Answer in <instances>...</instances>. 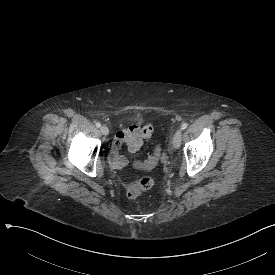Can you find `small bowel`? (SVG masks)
<instances>
[{
    "label": "small bowel",
    "mask_w": 275,
    "mask_h": 275,
    "mask_svg": "<svg viewBox=\"0 0 275 275\" xmlns=\"http://www.w3.org/2000/svg\"><path fill=\"white\" fill-rule=\"evenodd\" d=\"M154 126L151 123L142 124L141 126H129L125 131L118 129L115 132V138L110 151V163L115 168H123L127 165L128 159L120 154L121 146L126 144L130 153L139 150L143 143H147L152 136Z\"/></svg>",
    "instance_id": "1"
}]
</instances>
